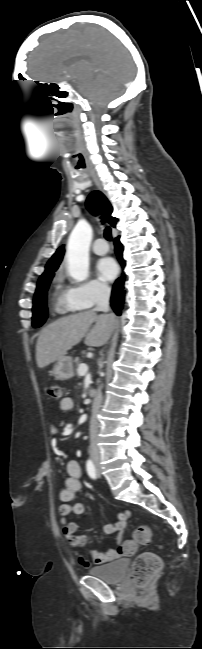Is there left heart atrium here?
I'll return each mask as SVG.
<instances>
[{
    "mask_svg": "<svg viewBox=\"0 0 202 649\" xmlns=\"http://www.w3.org/2000/svg\"><path fill=\"white\" fill-rule=\"evenodd\" d=\"M97 273L101 280L110 281L117 274V266L113 259L103 258L97 264Z\"/></svg>",
    "mask_w": 202,
    "mask_h": 649,
    "instance_id": "left-heart-atrium-1",
    "label": "left heart atrium"
}]
</instances>
